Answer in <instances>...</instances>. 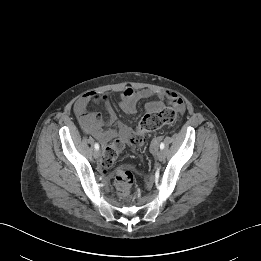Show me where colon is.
Wrapping results in <instances>:
<instances>
[{
  "mask_svg": "<svg viewBox=\"0 0 261 261\" xmlns=\"http://www.w3.org/2000/svg\"><path fill=\"white\" fill-rule=\"evenodd\" d=\"M180 113L173 108H163L160 110L149 111L142 117L138 128L130 137L129 142L134 146H141L146 140V135L150 132L156 131L164 126L175 125L179 122ZM126 141L122 138L114 140L105 148L101 160V167L103 170H109L117 156L125 148ZM115 188L119 195L127 197L134 184V176L132 172L121 167L116 171Z\"/></svg>",
  "mask_w": 261,
  "mask_h": 261,
  "instance_id": "colon-1",
  "label": "colon"
}]
</instances>
